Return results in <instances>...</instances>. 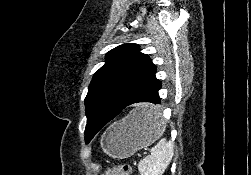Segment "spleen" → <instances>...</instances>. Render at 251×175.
Masks as SVG:
<instances>
[{
  "instance_id": "obj_1",
  "label": "spleen",
  "mask_w": 251,
  "mask_h": 175,
  "mask_svg": "<svg viewBox=\"0 0 251 175\" xmlns=\"http://www.w3.org/2000/svg\"><path fill=\"white\" fill-rule=\"evenodd\" d=\"M147 115L154 117V119H159L160 117L159 113L158 117H156L155 111H149ZM158 123H160L158 125L160 131H163L165 129V125H163L165 123L164 119H159ZM173 147V141H165L164 137L160 139L154 147H151L150 155L140 159L138 169L141 175H162L173 157Z\"/></svg>"
}]
</instances>
